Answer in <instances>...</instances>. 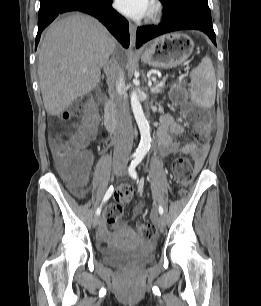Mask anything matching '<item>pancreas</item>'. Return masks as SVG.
<instances>
[{
  "instance_id": "pancreas-1",
  "label": "pancreas",
  "mask_w": 261,
  "mask_h": 306,
  "mask_svg": "<svg viewBox=\"0 0 261 306\" xmlns=\"http://www.w3.org/2000/svg\"><path fill=\"white\" fill-rule=\"evenodd\" d=\"M164 83H165V80H163L162 82H155L154 86L151 87V92L154 94L160 93L162 89L165 87Z\"/></svg>"
}]
</instances>
